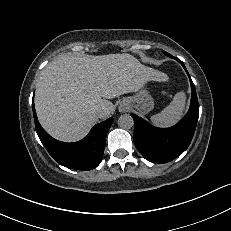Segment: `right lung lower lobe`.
Masks as SVG:
<instances>
[{"label":"right lung lower lobe","instance_id":"1","mask_svg":"<svg viewBox=\"0 0 231 231\" xmlns=\"http://www.w3.org/2000/svg\"><path fill=\"white\" fill-rule=\"evenodd\" d=\"M32 108L37 134L49 154L59 164L78 170H91L100 164L104 153L106 134L114 121L112 117L96 124L81 141L64 143L55 140L44 131L38 122L34 102Z\"/></svg>","mask_w":231,"mask_h":231}]
</instances>
